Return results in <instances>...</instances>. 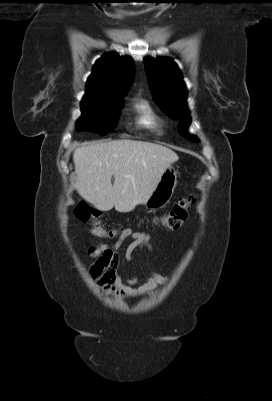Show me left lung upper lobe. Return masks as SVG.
Masks as SVG:
<instances>
[{
  "label": "left lung upper lobe",
  "instance_id": "obj_1",
  "mask_svg": "<svg viewBox=\"0 0 272 401\" xmlns=\"http://www.w3.org/2000/svg\"><path fill=\"white\" fill-rule=\"evenodd\" d=\"M144 66L158 106L170 116L180 118V134L197 142V138L185 134L191 118L186 109L187 90L177 65L171 58H147Z\"/></svg>",
  "mask_w": 272,
  "mask_h": 401
}]
</instances>
